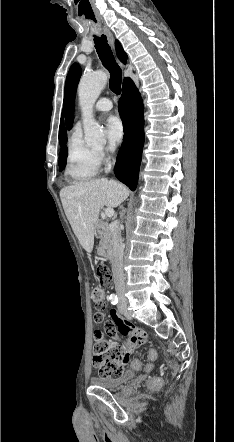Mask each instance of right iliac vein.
Returning a JSON list of instances; mask_svg holds the SVG:
<instances>
[{
    "instance_id": "1",
    "label": "right iliac vein",
    "mask_w": 234,
    "mask_h": 442,
    "mask_svg": "<svg viewBox=\"0 0 234 442\" xmlns=\"http://www.w3.org/2000/svg\"><path fill=\"white\" fill-rule=\"evenodd\" d=\"M123 306H124V309L126 308V306L123 304Z\"/></svg>"
}]
</instances>
